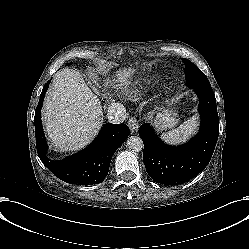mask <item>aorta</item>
Wrapping results in <instances>:
<instances>
[{"label": "aorta", "mask_w": 249, "mask_h": 249, "mask_svg": "<svg viewBox=\"0 0 249 249\" xmlns=\"http://www.w3.org/2000/svg\"><path fill=\"white\" fill-rule=\"evenodd\" d=\"M127 146L133 152H141L144 148V143L140 137L131 136L127 139Z\"/></svg>", "instance_id": "1"}]
</instances>
